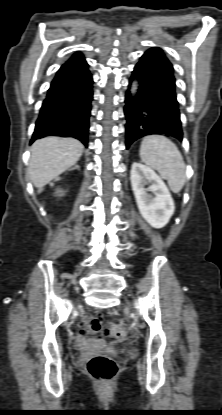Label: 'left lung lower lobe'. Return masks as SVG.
I'll return each instance as SVG.
<instances>
[{
    "label": "left lung lower lobe",
    "instance_id": "1",
    "mask_svg": "<svg viewBox=\"0 0 222 415\" xmlns=\"http://www.w3.org/2000/svg\"><path fill=\"white\" fill-rule=\"evenodd\" d=\"M137 92L132 97L127 91L124 113L126 148L140 137L152 134L183 139L180 112L176 99L173 66L162 49L146 51L132 72Z\"/></svg>",
    "mask_w": 222,
    "mask_h": 415
}]
</instances>
